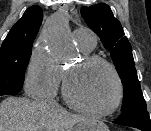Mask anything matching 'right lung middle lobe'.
<instances>
[{
	"instance_id": "right-lung-middle-lobe-1",
	"label": "right lung middle lobe",
	"mask_w": 151,
	"mask_h": 131,
	"mask_svg": "<svg viewBox=\"0 0 151 131\" xmlns=\"http://www.w3.org/2000/svg\"><path fill=\"white\" fill-rule=\"evenodd\" d=\"M32 45H2L0 49V96L15 95L23 87Z\"/></svg>"
}]
</instances>
